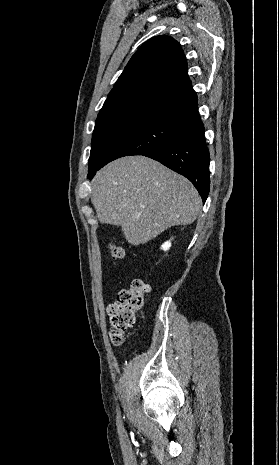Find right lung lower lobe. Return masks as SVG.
I'll return each instance as SVG.
<instances>
[{
  "label": "right lung lower lobe",
  "instance_id": "98d812e1",
  "mask_svg": "<svg viewBox=\"0 0 279 465\" xmlns=\"http://www.w3.org/2000/svg\"><path fill=\"white\" fill-rule=\"evenodd\" d=\"M204 130L197 110L179 122L169 139L143 154L188 178L198 190L203 203L210 189V156ZM100 168L89 171L88 177L91 179Z\"/></svg>",
  "mask_w": 279,
  "mask_h": 465
}]
</instances>
